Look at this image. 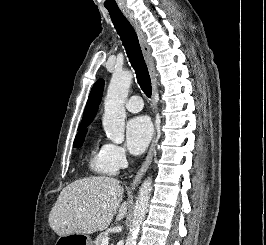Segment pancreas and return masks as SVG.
<instances>
[{"instance_id": "pancreas-1", "label": "pancreas", "mask_w": 266, "mask_h": 245, "mask_svg": "<svg viewBox=\"0 0 266 245\" xmlns=\"http://www.w3.org/2000/svg\"><path fill=\"white\" fill-rule=\"evenodd\" d=\"M103 237H108V233H100V235L96 237V241H94L95 245H102Z\"/></svg>"}]
</instances>
